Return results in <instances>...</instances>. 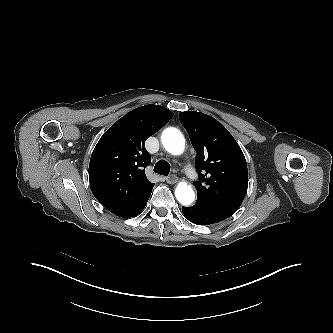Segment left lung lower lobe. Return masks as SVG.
Listing matches in <instances>:
<instances>
[{"instance_id":"obj_1","label":"left lung lower lobe","mask_w":333,"mask_h":333,"mask_svg":"<svg viewBox=\"0 0 333 333\" xmlns=\"http://www.w3.org/2000/svg\"><path fill=\"white\" fill-rule=\"evenodd\" d=\"M182 212L189 221L199 225L214 224L231 216L202 201L192 207H182Z\"/></svg>"}]
</instances>
